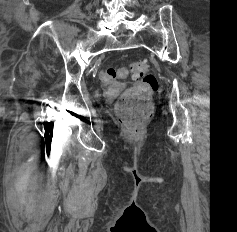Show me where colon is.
<instances>
[{
    "instance_id": "obj_1",
    "label": "colon",
    "mask_w": 237,
    "mask_h": 232,
    "mask_svg": "<svg viewBox=\"0 0 237 232\" xmlns=\"http://www.w3.org/2000/svg\"><path fill=\"white\" fill-rule=\"evenodd\" d=\"M147 71L145 62L135 61L129 68L110 66L100 73L101 80L107 83L129 74L135 80L134 86L122 94L116 106L119 121L131 134L138 133L152 113L149 97L158 89V81Z\"/></svg>"
}]
</instances>
